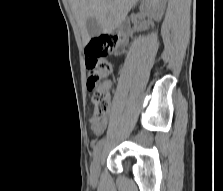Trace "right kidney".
<instances>
[{
  "label": "right kidney",
  "mask_w": 223,
  "mask_h": 191,
  "mask_svg": "<svg viewBox=\"0 0 223 191\" xmlns=\"http://www.w3.org/2000/svg\"><path fill=\"white\" fill-rule=\"evenodd\" d=\"M165 4V0H143V2L141 3V10H146L150 7H153L157 10L156 18L160 20L163 16Z\"/></svg>",
  "instance_id": "ca27d5eb"
}]
</instances>
